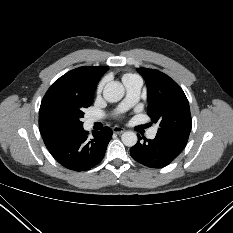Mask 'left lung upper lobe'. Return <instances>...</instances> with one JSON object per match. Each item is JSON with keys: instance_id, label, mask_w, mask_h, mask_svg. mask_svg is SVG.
Segmentation results:
<instances>
[{"instance_id": "1", "label": "left lung upper lobe", "mask_w": 233, "mask_h": 233, "mask_svg": "<svg viewBox=\"0 0 233 233\" xmlns=\"http://www.w3.org/2000/svg\"><path fill=\"white\" fill-rule=\"evenodd\" d=\"M147 85V113L159 122L158 136L187 143L192 121L189 103L180 86L166 74L147 68H137Z\"/></svg>"}]
</instances>
